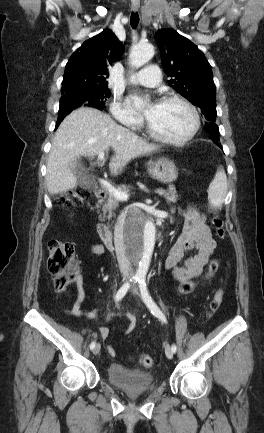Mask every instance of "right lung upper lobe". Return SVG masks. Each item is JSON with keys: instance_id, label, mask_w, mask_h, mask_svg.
I'll list each match as a JSON object with an SVG mask.
<instances>
[{"instance_id": "obj_1", "label": "right lung upper lobe", "mask_w": 264, "mask_h": 433, "mask_svg": "<svg viewBox=\"0 0 264 433\" xmlns=\"http://www.w3.org/2000/svg\"><path fill=\"white\" fill-rule=\"evenodd\" d=\"M124 48L109 29L84 42L66 64L61 89L63 96L78 90L107 86L108 68L123 54Z\"/></svg>"}]
</instances>
